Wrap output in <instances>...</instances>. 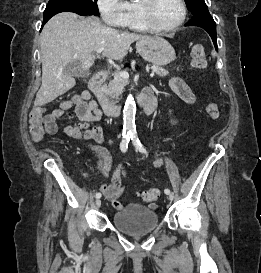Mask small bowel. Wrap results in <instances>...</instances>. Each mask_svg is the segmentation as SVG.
<instances>
[{
	"label": "small bowel",
	"instance_id": "obj_1",
	"mask_svg": "<svg viewBox=\"0 0 261 273\" xmlns=\"http://www.w3.org/2000/svg\"><path fill=\"white\" fill-rule=\"evenodd\" d=\"M170 87L185 104H195L196 96L184 80L179 77H173L170 80ZM71 107L75 108L79 122L66 125L63 129L64 134L70 138L78 139L86 143L95 158V169L102 176H106L110 167V156L107 150L101 145L105 139L103 129L94 125V123L101 118V112L96 102L91 99L89 92L74 95L70 100L65 101L61 108H57L47 114L44 120L46 131L50 134L56 133L58 130L57 120L62 117L64 110L70 109ZM108 142L109 144H113L111 140ZM126 174V165L122 162L115 169L111 183L102 184L98 187L117 210L123 207L119 198L124 192L121 178L122 175L126 176Z\"/></svg>",
	"mask_w": 261,
	"mask_h": 273
}]
</instances>
